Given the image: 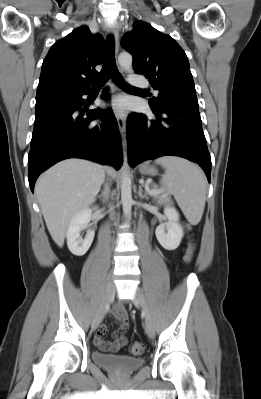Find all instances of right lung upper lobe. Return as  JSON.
Segmentation results:
<instances>
[{
	"mask_svg": "<svg viewBox=\"0 0 261 399\" xmlns=\"http://www.w3.org/2000/svg\"><path fill=\"white\" fill-rule=\"evenodd\" d=\"M103 56V37L93 35L87 26L55 42L42 64L36 104L88 92L89 84L83 76L96 75L95 66L102 63Z\"/></svg>",
	"mask_w": 261,
	"mask_h": 399,
	"instance_id": "1",
	"label": "right lung upper lobe"
}]
</instances>
